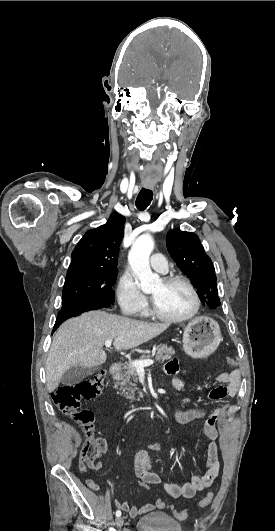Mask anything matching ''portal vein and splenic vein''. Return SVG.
Listing matches in <instances>:
<instances>
[{
  "mask_svg": "<svg viewBox=\"0 0 275 531\" xmlns=\"http://www.w3.org/2000/svg\"><path fill=\"white\" fill-rule=\"evenodd\" d=\"M116 341H120V339H116ZM112 343L113 341H105V347L109 349ZM130 365H133L135 369H144V367H150V365H154V361H152V359H146V361H132Z\"/></svg>",
  "mask_w": 275,
  "mask_h": 531,
  "instance_id": "1",
  "label": "portal vein and splenic vein"
}]
</instances>
